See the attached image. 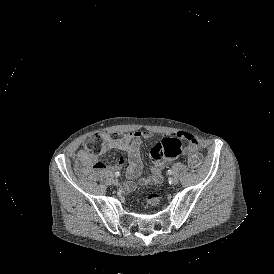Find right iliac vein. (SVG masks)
Instances as JSON below:
<instances>
[{
    "mask_svg": "<svg viewBox=\"0 0 274 274\" xmlns=\"http://www.w3.org/2000/svg\"><path fill=\"white\" fill-rule=\"evenodd\" d=\"M112 183H113V185H118V180L117 179H113Z\"/></svg>",
    "mask_w": 274,
    "mask_h": 274,
    "instance_id": "1",
    "label": "right iliac vein"
}]
</instances>
